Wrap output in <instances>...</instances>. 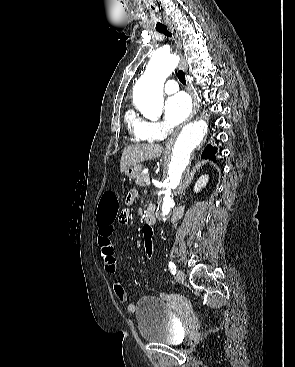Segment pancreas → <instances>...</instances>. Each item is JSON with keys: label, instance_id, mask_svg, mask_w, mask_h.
I'll return each mask as SVG.
<instances>
[{"label": "pancreas", "instance_id": "pancreas-1", "mask_svg": "<svg viewBox=\"0 0 295 367\" xmlns=\"http://www.w3.org/2000/svg\"><path fill=\"white\" fill-rule=\"evenodd\" d=\"M149 178V174L140 173V175L136 178V184L139 186H145L146 180Z\"/></svg>", "mask_w": 295, "mask_h": 367}]
</instances>
